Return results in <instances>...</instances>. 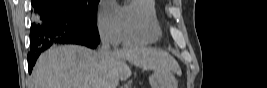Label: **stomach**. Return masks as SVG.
<instances>
[{"label":"stomach","instance_id":"stomach-1","mask_svg":"<svg viewBox=\"0 0 267 88\" xmlns=\"http://www.w3.org/2000/svg\"><path fill=\"white\" fill-rule=\"evenodd\" d=\"M149 83L152 88H176V80L173 75L161 70H154L149 76Z\"/></svg>","mask_w":267,"mask_h":88}]
</instances>
